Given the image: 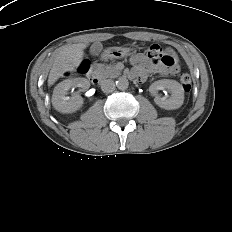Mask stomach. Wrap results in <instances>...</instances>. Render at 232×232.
Segmentation results:
<instances>
[{
  "instance_id": "0dacf381",
  "label": "stomach",
  "mask_w": 232,
  "mask_h": 232,
  "mask_svg": "<svg viewBox=\"0 0 232 232\" xmlns=\"http://www.w3.org/2000/svg\"><path fill=\"white\" fill-rule=\"evenodd\" d=\"M130 54V50L122 47H110L104 52L106 59H121Z\"/></svg>"
}]
</instances>
